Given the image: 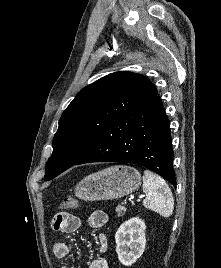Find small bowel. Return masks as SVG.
<instances>
[{"mask_svg": "<svg viewBox=\"0 0 221 268\" xmlns=\"http://www.w3.org/2000/svg\"><path fill=\"white\" fill-rule=\"evenodd\" d=\"M108 221L107 214L102 210H96L92 212L88 218V226L91 229L102 228ZM52 229L58 232H73L76 231L81 221L78 217L69 213L56 214L51 222ZM99 251L104 253L107 249V238L104 234H99L97 237ZM72 250V244L68 242H56L53 245V254L56 258L62 259L67 257ZM61 268H69L67 265H63ZM88 268H109L107 261L98 257L90 262Z\"/></svg>", "mask_w": 221, "mask_h": 268, "instance_id": "obj_1", "label": "small bowel"}]
</instances>
